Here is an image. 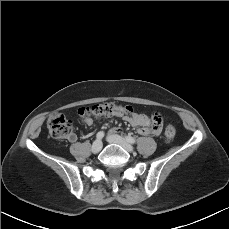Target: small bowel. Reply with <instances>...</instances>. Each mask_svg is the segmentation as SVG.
Instances as JSON below:
<instances>
[{
  "instance_id": "c3829d8e",
  "label": "small bowel",
  "mask_w": 229,
  "mask_h": 229,
  "mask_svg": "<svg viewBox=\"0 0 229 229\" xmlns=\"http://www.w3.org/2000/svg\"><path fill=\"white\" fill-rule=\"evenodd\" d=\"M123 119L126 120L128 123H130L134 127H138V133L140 135L146 136L149 134L156 133V131L150 130L146 127L149 123V117L146 114L143 113H130L123 115ZM84 123L87 126L93 125V119L88 117L84 120ZM119 128H112L110 130V133H117L119 132ZM75 136H71V140H74Z\"/></svg>"
}]
</instances>
